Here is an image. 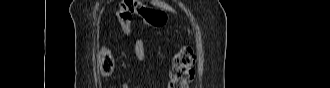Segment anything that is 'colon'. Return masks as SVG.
I'll return each mask as SVG.
<instances>
[{"instance_id": "5ec220e1", "label": "colon", "mask_w": 330, "mask_h": 88, "mask_svg": "<svg viewBox=\"0 0 330 88\" xmlns=\"http://www.w3.org/2000/svg\"><path fill=\"white\" fill-rule=\"evenodd\" d=\"M117 16L122 29L129 32L134 16L140 18L147 26L159 27L164 24L165 16L154 9L146 7L138 0H125L117 9ZM195 55L190 46H183L174 56L170 72V88H188L194 78ZM113 53L103 48L99 53V69L104 77H110L114 72Z\"/></svg>"}]
</instances>
